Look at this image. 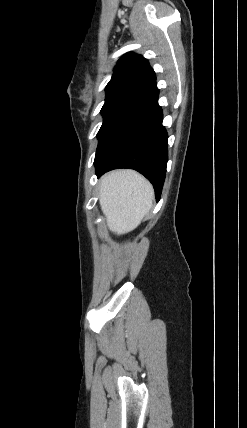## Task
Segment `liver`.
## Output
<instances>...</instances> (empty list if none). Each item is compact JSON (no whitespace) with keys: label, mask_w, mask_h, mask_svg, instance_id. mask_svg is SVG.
I'll return each instance as SVG.
<instances>
[{"label":"liver","mask_w":247,"mask_h":428,"mask_svg":"<svg viewBox=\"0 0 247 428\" xmlns=\"http://www.w3.org/2000/svg\"><path fill=\"white\" fill-rule=\"evenodd\" d=\"M154 190L134 170H115L100 181L99 203L108 229L122 235L134 230L152 207Z\"/></svg>","instance_id":"obj_1"}]
</instances>
